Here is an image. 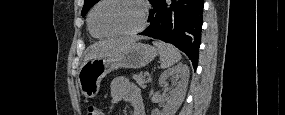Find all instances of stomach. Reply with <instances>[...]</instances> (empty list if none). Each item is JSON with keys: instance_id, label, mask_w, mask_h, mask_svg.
I'll use <instances>...</instances> for the list:
<instances>
[{"instance_id": "1", "label": "stomach", "mask_w": 285, "mask_h": 115, "mask_svg": "<svg viewBox=\"0 0 285 115\" xmlns=\"http://www.w3.org/2000/svg\"><path fill=\"white\" fill-rule=\"evenodd\" d=\"M156 55L157 50L154 47L134 42L118 54L87 61L78 74L81 93L86 98L95 97L100 90L101 80L111 71L119 68H142Z\"/></svg>"}]
</instances>
